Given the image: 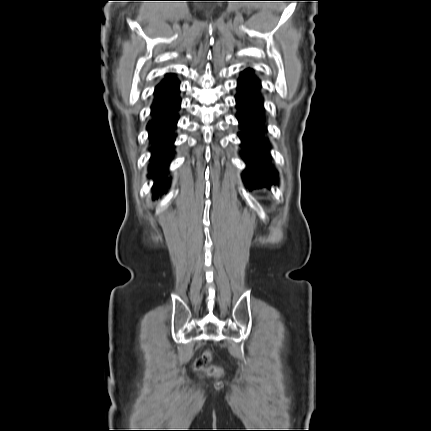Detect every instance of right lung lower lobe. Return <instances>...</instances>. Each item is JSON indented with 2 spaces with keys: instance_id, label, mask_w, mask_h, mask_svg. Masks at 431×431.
I'll use <instances>...</instances> for the list:
<instances>
[{
  "instance_id": "98d812e1",
  "label": "right lung lower lobe",
  "mask_w": 431,
  "mask_h": 431,
  "mask_svg": "<svg viewBox=\"0 0 431 431\" xmlns=\"http://www.w3.org/2000/svg\"><path fill=\"white\" fill-rule=\"evenodd\" d=\"M180 84L176 79L156 88L155 99L151 107L152 119L148 124L150 137L151 177L157 192L163 193L168 184L166 173L173 158L174 142L178 110L181 106L179 98Z\"/></svg>"
}]
</instances>
